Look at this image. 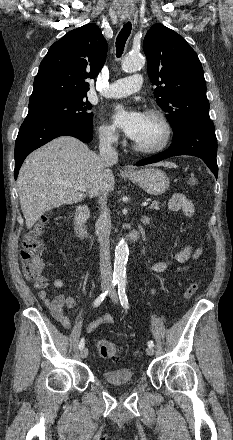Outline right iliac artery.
Returning a JSON list of instances; mask_svg holds the SVG:
<instances>
[{
  "label": "right iliac artery",
  "instance_id": "82829eb1",
  "mask_svg": "<svg viewBox=\"0 0 233 440\" xmlns=\"http://www.w3.org/2000/svg\"><path fill=\"white\" fill-rule=\"evenodd\" d=\"M118 283V280H113L111 283L110 288H114V286ZM109 290H106L104 293L100 294L96 300L94 301V307H98L102 301L105 299L106 295L108 294ZM85 346V340L84 338L81 339V341L79 342V349L82 350Z\"/></svg>",
  "mask_w": 233,
  "mask_h": 440
}]
</instances>
